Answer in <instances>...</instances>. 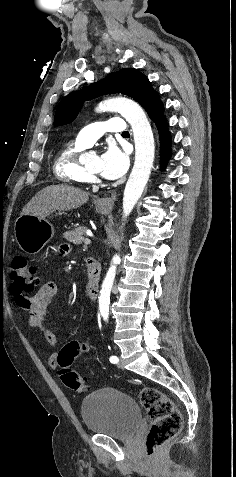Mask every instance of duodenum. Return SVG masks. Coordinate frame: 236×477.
Listing matches in <instances>:
<instances>
[{
    "instance_id": "410a0bca",
    "label": "duodenum",
    "mask_w": 236,
    "mask_h": 477,
    "mask_svg": "<svg viewBox=\"0 0 236 477\" xmlns=\"http://www.w3.org/2000/svg\"><path fill=\"white\" fill-rule=\"evenodd\" d=\"M87 273H86V281L89 287H91L94 291L98 288V282L100 278V264L94 258H87Z\"/></svg>"
}]
</instances>
